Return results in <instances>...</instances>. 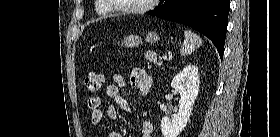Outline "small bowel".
I'll list each match as a JSON object with an SVG mask.
<instances>
[{
  "mask_svg": "<svg viewBox=\"0 0 280 137\" xmlns=\"http://www.w3.org/2000/svg\"><path fill=\"white\" fill-rule=\"evenodd\" d=\"M129 82L131 86L140 94L145 95L152 86V78L148 76L142 68L135 67L130 71ZM127 85V78L123 72H115L112 77V83L105 89L106 96L115 99L116 103L124 110H128V104L124 99L121 90ZM102 99L97 96L90 97L87 100V109L90 113V122L92 125H98L103 119V113L100 109ZM107 115L110 119L119 117V109L115 104H111L107 109ZM153 125L149 121L141 123V137H152ZM108 137H122L120 133L112 132Z\"/></svg>",
  "mask_w": 280,
  "mask_h": 137,
  "instance_id": "obj_1",
  "label": "small bowel"
}]
</instances>
